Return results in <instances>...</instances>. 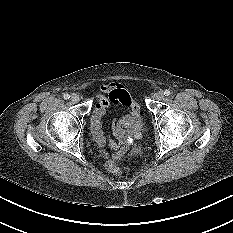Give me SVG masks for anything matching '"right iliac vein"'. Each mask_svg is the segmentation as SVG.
Instances as JSON below:
<instances>
[{
  "mask_svg": "<svg viewBox=\"0 0 233 233\" xmlns=\"http://www.w3.org/2000/svg\"><path fill=\"white\" fill-rule=\"evenodd\" d=\"M79 100H80V97H79L78 94L73 93V94L71 95V101H72V102L77 103V102H79Z\"/></svg>",
  "mask_w": 233,
  "mask_h": 233,
  "instance_id": "right-iliac-vein-1",
  "label": "right iliac vein"
}]
</instances>
